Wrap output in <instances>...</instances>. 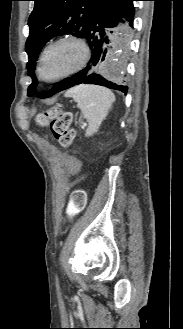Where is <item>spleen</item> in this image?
<instances>
[{
  "label": "spleen",
  "mask_w": 183,
  "mask_h": 329,
  "mask_svg": "<svg viewBox=\"0 0 183 329\" xmlns=\"http://www.w3.org/2000/svg\"><path fill=\"white\" fill-rule=\"evenodd\" d=\"M65 97H72L88 122L86 136H92L101 126L115 102L114 94L97 85H79L69 89Z\"/></svg>",
  "instance_id": "1"
}]
</instances>
